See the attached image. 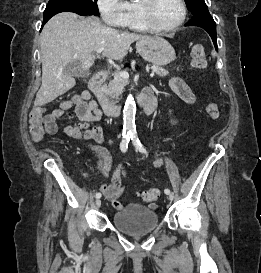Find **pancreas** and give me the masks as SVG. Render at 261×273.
I'll list each match as a JSON object with an SVG mask.
<instances>
[{"label":"pancreas","mask_w":261,"mask_h":273,"mask_svg":"<svg viewBox=\"0 0 261 273\" xmlns=\"http://www.w3.org/2000/svg\"><path fill=\"white\" fill-rule=\"evenodd\" d=\"M151 69L160 77L168 75L167 70L157 65L151 66ZM126 70L127 69H125V71ZM112 76L113 79L110 80L108 84H105L102 89L104 93L112 100V103H115L119 95H121V93L123 92L124 87L127 85L128 80L120 77L119 71L113 73Z\"/></svg>","instance_id":"obj_1"}]
</instances>
